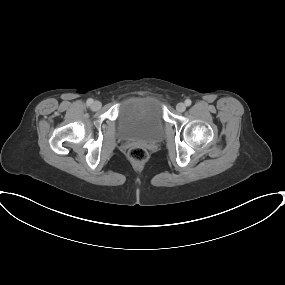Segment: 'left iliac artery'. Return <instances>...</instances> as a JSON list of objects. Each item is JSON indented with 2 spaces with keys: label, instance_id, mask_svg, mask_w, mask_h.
I'll use <instances>...</instances> for the list:
<instances>
[{
  "label": "left iliac artery",
  "instance_id": "left-iliac-artery-1",
  "mask_svg": "<svg viewBox=\"0 0 285 285\" xmlns=\"http://www.w3.org/2000/svg\"><path fill=\"white\" fill-rule=\"evenodd\" d=\"M191 103H192V102H191V100H190V99H186V100H185V104H186V106H190V105H191Z\"/></svg>",
  "mask_w": 285,
  "mask_h": 285
}]
</instances>
